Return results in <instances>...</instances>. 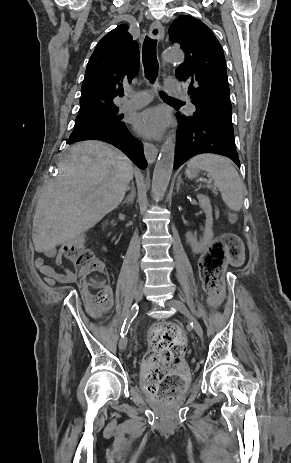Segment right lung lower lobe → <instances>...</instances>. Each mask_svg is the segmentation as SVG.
Segmentation results:
<instances>
[{"instance_id":"98d812e1","label":"right lung lower lobe","mask_w":291,"mask_h":463,"mask_svg":"<svg viewBox=\"0 0 291 463\" xmlns=\"http://www.w3.org/2000/svg\"><path fill=\"white\" fill-rule=\"evenodd\" d=\"M89 139H97L108 142L126 154L139 168L145 169L147 167L142 143L130 134L125 124L116 128L98 129L77 136H72L69 138L67 143L71 144Z\"/></svg>"}]
</instances>
